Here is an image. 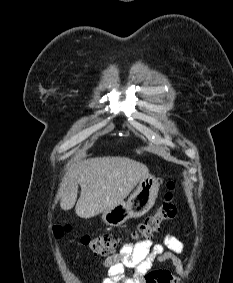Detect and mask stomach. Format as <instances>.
I'll return each mask as SVG.
<instances>
[{
  "label": "stomach",
  "mask_w": 233,
  "mask_h": 283,
  "mask_svg": "<svg viewBox=\"0 0 233 283\" xmlns=\"http://www.w3.org/2000/svg\"><path fill=\"white\" fill-rule=\"evenodd\" d=\"M160 183L154 175L147 174L138 183L128 200L102 213V219L109 226H120L130 218L146 214L154 205Z\"/></svg>",
  "instance_id": "1"
}]
</instances>
